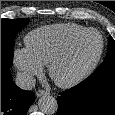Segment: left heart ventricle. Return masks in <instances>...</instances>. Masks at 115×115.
I'll list each match as a JSON object with an SVG mask.
<instances>
[{
  "label": "left heart ventricle",
  "instance_id": "1",
  "mask_svg": "<svg viewBox=\"0 0 115 115\" xmlns=\"http://www.w3.org/2000/svg\"><path fill=\"white\" fill-rule=\"evenodd\" d=\"M100 47L99 36L90 33L75 45L69 58L57 69L61 78L69 77L87 66L97 55Z\"/></svg>",
  "mask_w": 115,
  "mask_h": 115
}]
</instances>
